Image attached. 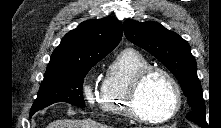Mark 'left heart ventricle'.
<instances>
[{
  "label": "left heart ventricle",
  "mask_w": 221,
  "mask_h": 128,
  "mask_svg": "<svg viewBox=\"0 0 221 128\" xmlns=\"http://www.w3.org/2000/svg\"><path fill=\"white\" fill-rule=\"evenodd\" d=\"M173 104V93L168 80L162 74H154L142 85L137 106L145 115L163 116Z\"/></svg>",
  "instance_id": "b2bd125f"
}]
</instances>
